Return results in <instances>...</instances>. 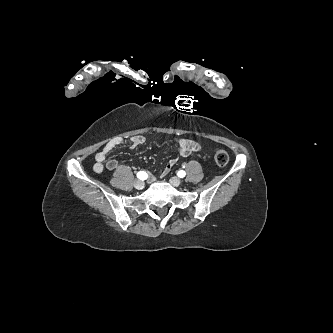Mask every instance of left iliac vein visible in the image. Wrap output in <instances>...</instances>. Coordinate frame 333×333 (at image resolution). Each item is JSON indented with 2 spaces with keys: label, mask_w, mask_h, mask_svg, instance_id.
Wrapping results in <instances>:
<instances>
[{
  "label": "left iliac vein",
  "mask_w": 333,
  "mask_h": 333,
  "mask_svg": "<svg viewBox=\"0 0 333 333\" xmlns=\"http://www.w3.org/2000/svg\"><path fill=\"white\" fill-rule=\"evenodd\" d=\"M170 183H171L173 186L177 187V186H179V185L181 184V180H180V178H178V177H172V178L170 179Z\"/></svg>",
  "instance_id": "obj_1"
}]
</instances>
